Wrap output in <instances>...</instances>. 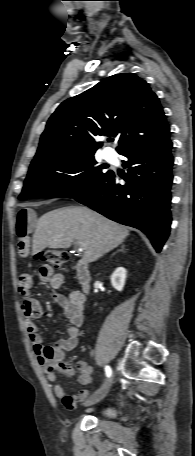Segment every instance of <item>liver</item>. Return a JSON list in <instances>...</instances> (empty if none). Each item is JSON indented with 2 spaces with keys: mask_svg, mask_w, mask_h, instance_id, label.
I'll return each instance as SVG.
<instances>
[{
  "mask_svg": "<svg viewBox=\"0 0 195 456\" xmlns=\"http://www.w3.org/2000/svg\"><path fill=\"white\" fill-rule=\"evenodd\" d=\"M128 229L86 207H64L44 214L33 235L32 255L45 248L67 249L74 241L86 244L83 260L91 263L120 245Z\"/></svg>",
  "mask_w": 195,
  "mask_h": 456,
  "instance_id": "6515ba94",
  "label": "liver"
}]
</instances>
